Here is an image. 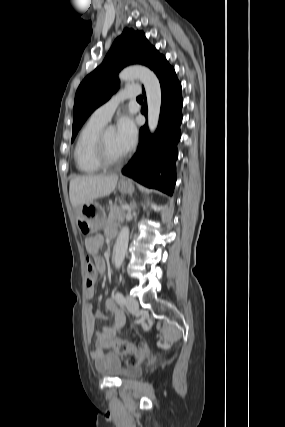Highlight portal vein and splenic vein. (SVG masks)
<instances>
[{
	"label": "portal vein and splenic vein",
	"instance_id": "1",
	"mask_svg": "<svg viewBox=\"0 0 285 427\" xmlns=\"http://www.w3.org/2000/svg\"><path fill=\"white\" fill-rule=\"evenodd\" d=\"M121 208L124 209V210H128L129 206L128 205H122Z\"/></svg>",
	"mask_w": 285,
	"mask_h": 427
}]
</instances>
